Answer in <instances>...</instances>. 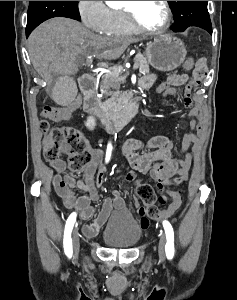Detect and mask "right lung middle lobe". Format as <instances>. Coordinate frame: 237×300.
Returning <instances> with one entry per match:
<instances>
[{"instance_id": "dd1d6c3e", "label": "right lung middle lobe", "mask_w": 237, "mask_h": 300, "mask_svg": "<svg viewBox=\"0 0 237 300\" xmlns=\"http://www.w3.org/2000/svg\"><path fill=\"white\" fill-rule=\"evenodd\" d=\"M78 1H30L27 28L34 29L40 23L53 17H67L81 20Z\"/></svg>"}]
</instances>
